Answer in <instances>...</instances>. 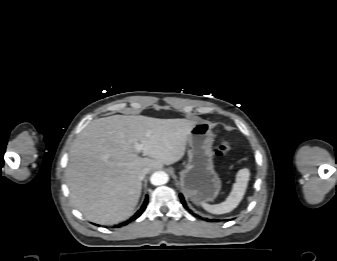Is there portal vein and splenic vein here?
Here are the masks:
<instances>
[{
	"label": "portal vein and splenic vein",
	"instance_id": "1",
	"mask_svg": "<svg viewBox=\"0 0 337 261\" xmlns=\"http://www.w3.org/2000/svg\"><path fill=\"white\" fill-rule=\"evenodd\" d=\"M136 151L137 152H141V150H142V146L140 145V144H136Z\"/></svg>",
	"mask_w": 337,
	"mask_h": 261
}]
</instances>
